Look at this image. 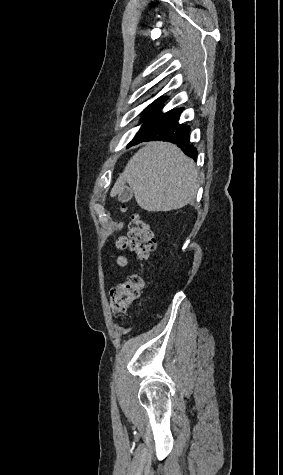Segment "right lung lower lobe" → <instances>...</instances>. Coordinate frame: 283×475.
<instances>
[{
    "mask_svg": "<svg viewBox=\"0 0 283 475\" xmlns=\"http://www.w3.org/2000/svg\"><path fill=\"white\" fill-rule=\"evenodd\" d=\"M182 111L183 108L173 109L166 113L156 110L145 120L129 147L143 141L163 140L176 144L186 155L196 159L197 150L189 141L190 126L178 122Z\"/></svg>",
    "mask_w": 283,
    "mask_h": 475,
    "instance_id": "right-lung-lower-lobe-1",
    "label": "right lung lower lobe"
}]
</instances>
